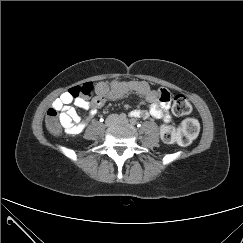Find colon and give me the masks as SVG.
I'll return each mask as SVG.
<instances>
[{
    "mask_svg": "<svg viewBox=\"0 0 243 243\" xmlns=\"http://www.w3.org/2000/svg\"><path fill=\"white\" fill-rule=\"evenodd\" d=\"M108 89L109 84L106 82H99L97 84L89 82L71 88L69 93L75 98H83L90 97L93 94V91L106 92ZM168 94L169 92L164 90L161 92L160 98L165 100ZM172 110L175 115L184 116L191 112V104L184 95L179 94L174 98ZM45 122L50 133L54 135L61 133L62 125L58 116V110L54 106H51L48 109ZM199 129L200 126L198 121L193 118H188L182 122L181 127L178 130L171 126H162L160 132L161 138L165 143L188 145L197 137Z\"/></svg>",
    "mask_w": 243,
    "mask_h": 243,
    "instance_id": "obj_1",
    "label": "colon"
}]
</instances>
